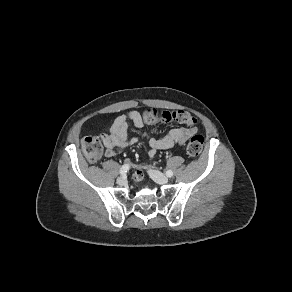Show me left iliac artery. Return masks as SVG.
I'll use <instances>...</instances> for the list:
<instances>
[{
    "label": "left iliac artery",
    "instance_id": "44dca946",
    "mask_svg": "<svg viewBox=\"0 0 292 292\" xmlns=\"http://www.w3.org/2000/svg\"><path fill=\"white\" fill-rule=\"evenodd\" d=\"M166 175H167V177H172L173 172L171 170H168V171H166Z\"/></svg>",
    "mask_w": 292,
    "mask_h": 292
}]
</instances>
